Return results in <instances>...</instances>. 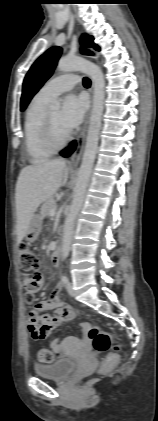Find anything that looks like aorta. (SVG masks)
Here are the masks:
<instances>
[{"label":"aorta","mask_w":158,"mask_h":421,"mask_svg":"<svg viewBox=\"0 0 158 421\" xmlns=\"http://www.w3.org/2000/svg\"><path fill=\"white\" fill-rule=\"evenodd\" d=\"M57 69L61 72L82 71L86 73L93 82V106L90 116L89 128L86 138L85 150L82 163L78 172L74 196L70 210L65 219L63 237H62V256L67 258L73 236L74 221L79 210L82 207L86 188L92 172L95 155L98 146L99 132L101 128L102 114L105 100V80L102 70L96 64L80 57L61 58ZM53 109L60 108V102L55 101L52 104Z\"/></svg>","instance_id":"aorta-1"}]
</instances>
